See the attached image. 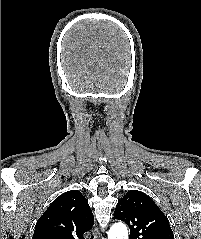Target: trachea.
Returning <instances> with one entry per match:
<instances>
[{"instance_id": "3493384b", "label": "trachea", "mask_w": 201, "mask_h": 239, "mask_svg": "<svg viewBox=\"0 0 201 239\" xmlns=\"http://www.w3.org/2000/svg\"><path fill=\"white\" fill-rule=\"evenodd\" d=\"M91 239H94V236H91Z\"/></svg>"}]
</instances>
